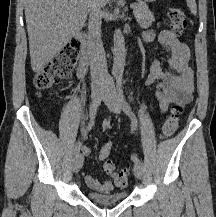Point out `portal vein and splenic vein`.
Returning a JSON list of instances; mask_svg holds the SVG:
<instances>
[{"label": "portal vein and splenic vein", "instance_id": "portal-vein-and-splenic-vein-1", "mask_svg": "<svg viewBox=\"0 0 216 217\" xmlns=\"http://www.w3.org/2000/svg\"><path fill=\"white\" fill-rule=\"evenodd\" d=\"M135 5H136V4H135ZM135 5L132 4L130 7H131L132 9H134V8H135Z\"/></svg>", "mask_w": 216, "mask_h": 217}]
</instances>
